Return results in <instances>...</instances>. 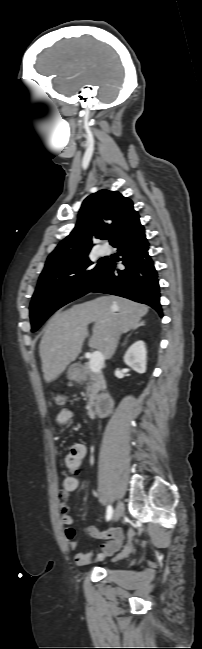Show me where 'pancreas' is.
Here are the masks:
<instances>
[{"label":"pancreas","instance_id":"obj_1","mask_svg":"<svg viewBox=\"0 0 202 649\" xmlns=\"http://www.w3.org/2000/svg\"><path fill=\"white\" fill-rule=\"evenodd\" d=\"M78 381L80 383H87V410L92 411L95 406V401L99 399V392L105 388V380L101 372H92L89 364L80 365V375Z\"/></svg>","mask_w":202,"mask_h":649}]
</instances>
